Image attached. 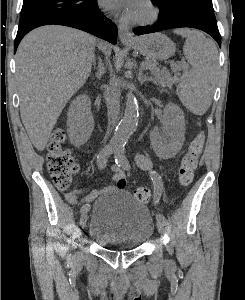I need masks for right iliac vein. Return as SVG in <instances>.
I'll return each mask as SVG.
<instances>
[{
    "label": "right iliac vein",
    "mask_w": 245,
    "mask_h": 300,
    "mask_svg": "<svg viewBox=\"0 0 245 300\" xmlns=\"http://www.w3.org/2000/svg\"><path fill=\"white\" fill-rule=\"evenodd\" d=\"M87 220H88V214H87V212H85L82 214V216L80 218V226L84 227L86 225Z\"/></svg>",
    "instance_id": "1"
}]
</instances>
